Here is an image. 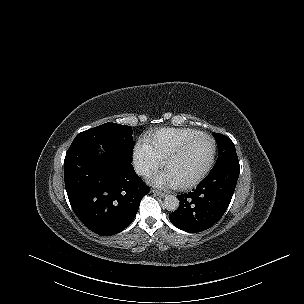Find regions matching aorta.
Here are the masks:
<instances>
[{
	"label": "aorta",
	"mask_w": 304,
	"mask_h": 304,
	"mask_svg": "<svg viewBox=\"0 0 304 304\" xmlns=\"http://www.w3.org/2000/svg\"><path fill=\"white\" fill-rule=\"evenodd\" d=\"M180 202L178 198L174 195H168L163 201V207L171 212H174L178 209Z\"/></svg>",
	"instance_id": "aorta-1"
}]
</instances>
